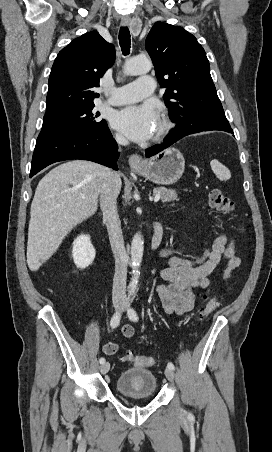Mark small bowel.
<instances>
[{
  "instance_id": "c3829d8e",
  "label": "small bowel",
  "mask_w": 272,
  "mask_h": 452,
  "mask_svg": "<svg viewBox=\"0 0 272 452\" xmlns=\"http://www.w3.org/2000/svg\"><path fill=\"white\" fill-rule=\"evenodd\" d=\"M165 259V267L161 270L164 283L157 288V294L166 313L178 315L192 311L196 305V288L210 286L209 277L216 273L222 260L227 264L222 271V278L227 280L232 271L239 267L241 259L235 254L234 243L225 235L217 237L209 248L194 259L183 258L178 250L164 249L161 252ZM125 338L134 337V328L123 325L120 329ZM119 350L118 342H108L103 352L112 356Z\"/></svg>"
}]
</instances>
